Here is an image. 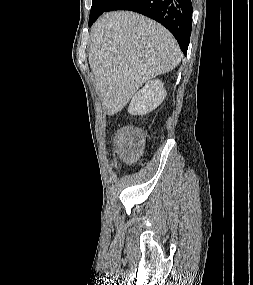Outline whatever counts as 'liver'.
<instances>
[{"label":"liver","mask_w":253,"mask_h":285,"mask_svg":"<svg viewBox=\"0 0 253 285\" xmlns=\"http://www.w3.org/2000/svg\"><path fill=\"white\" fill-rule=\"evenodd\" d=\"M181 51L156 21L130 11L103 14L91 29L88 59L105 114L121 111L150 79L173 70Z\"/></svg>","instance_id":"1"}]
</instances>
